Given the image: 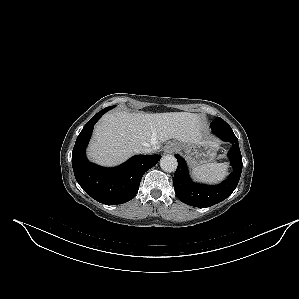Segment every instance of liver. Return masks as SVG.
<instances>
[{
  "label": "liver",
  "instance_id": "6515ba94",
  "mask_svg": "<svg viewBox=\"0 0 299 299\" xmlns=\"http://www.w3.org/2000/svg\"><path fill=\"white\" fill-rule=\"evenodd\" d=\"M201 129V118L193 113H107L95 126L87 154L97 164L113 166L143 146L156 151L169 139L181 144L199 142Z\"/></svg>",
  "mask_w": 299,
  "mask_h": 299
}]
</instances>
